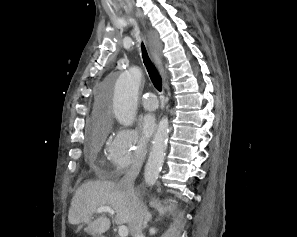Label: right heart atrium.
I'll return each mask as SVG.
<instances>
[{
	"mask_svg": "<svg viewBox=\"0 0 297 237\" xmlns=\"http://www.w3.org/2000/svg\"><path fill=\"white\" fill-rule=\"evenodd\" d=\"M110 128L111 124L107 122L105 133ZM146 152L147 144L144 138L137 131L129 128L117 129L109 144V159L117 171L140 165Z\"/></svg>",
	"mask_w": 297,
	"mask_h": 237,
	"instance_id": "d8ad5b80",
	"label": "right heart atrium"
}]
</instances>
